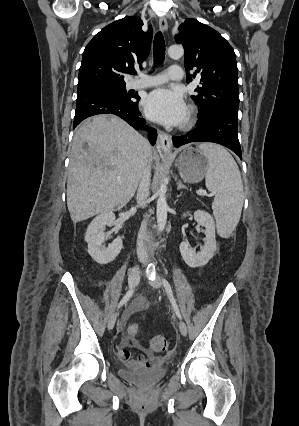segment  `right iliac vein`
Instances as JSON below:
<instances>
[{
  "label": "right iliac vein",
  "mask_w": 299,
  "mask_h": 426,
  "mask_svg": "<svg viewBox=\"0 0 299 426\" xmlns=\"http://www.w3.org/2000/svg\"><path fill=\"white\" fill-rule=\"evenodd\" d=\"M139 280H140V272H139V270L138 269H133L129 273V276H128V285H129V287L130 288L135 287L139 283ZM117 315H118L117 312H113L110 315L109 320H108V324H107V327H108L109 330L113 329V327L115 325V322H116V319H117Z\"/></svg>",
  "instance_id": "1"
}]
</instances>
